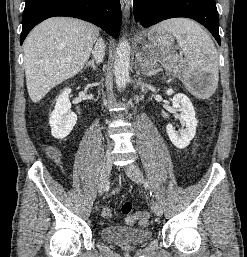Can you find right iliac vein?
I'll return each instance as SVG.
<instances>
[{
    "label": "right iliac vein",
    "mask_w": 247,
    "mask_h": 257,
    "mask_svg": "<svg viewBox=\"0 0 247 257\" xmlns=\"http://www.w3.org/2000/svg\"><path fill=\"white\" fill-rule=\"evenodd\" d=\"M111 166H112V159L111 155L107 153L104 157L103 161V166L101 170V176H100V181H99V186H98V193L99 195L103 194V191L106 187V183L111 171Z\"/></svg>",
    "instance_id": "right-iliac-vein-1"
}]
</instances>
